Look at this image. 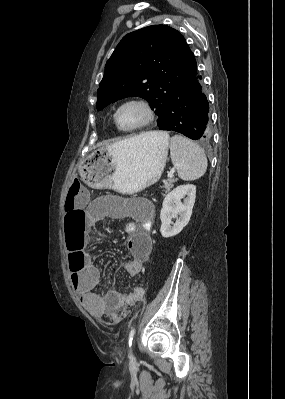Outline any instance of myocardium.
<instances>
[{"mask_svg": "<svg viewBox=\"0 0 285 399\" xmlns=\"http://www.w3.org/2000/svg\"><path fill=\"white\" fill-rule=\"evenodd\" d=\"M132 104L140 105L141 107H143V109L146 112V118L143 122H141L135 126H132L129 128L122 127L118 121V115H119L120 111L125 106L132 105ZM154 119H155V110H154L153 106L151 105V103L149 101H147L143 98H131V99L124 101L122 104H120L118 106V108L116 109V111L114 113V122H115L116 126L118 127L119 130L125 131V132L141 130V129L147 127L148 125H150L154 121Z\"/></svg>", "mask_w": 285, "mask_h": 399, "instance_id": "obj_1", "label": "myocardium"}]
</instances>
